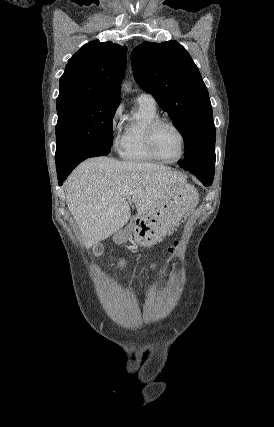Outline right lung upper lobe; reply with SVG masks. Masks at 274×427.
<instances>
[{"instance_id": "1", "label": "right lung upper lobe", "mask_w": 274, "mask_h": 427, "mask_svg": "<svg viewBox=\"0 0 274 427\" xmlns=\"http://www.w3.org/2000/svg\"><path fill=\"white\" fill-rule=\"evenodd\" d=\"M127 47L91 41L69 60L60 78L56 106L88 99H121Z\"/></svg>"}]
</instances>
